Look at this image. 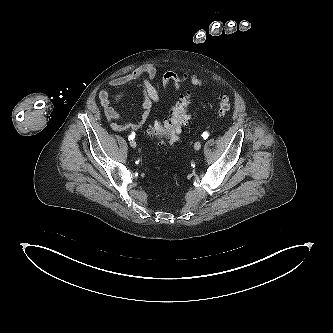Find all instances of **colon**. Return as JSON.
<instances>
[{"label": "colon", "mask_w": 333, "mask_h": 333, "mask_svg": "<svg viewBox=\"0 0 333 333\" xmlns=\"http://www.w3.org/2000/svg\"><path fill=\"white\" fill-rule=\"evenodd\" d=\"M191 96L183 95L180 101L171 109L170 116L164 121H154L148 128V134L152 138L173 143L178 140L180 134L186 129L192 119L189 113ZM231 109V104L226 96L218 99V110L221 115H226Z\"/></svg>", "instance_id": "obj_1"}]
</instances>
